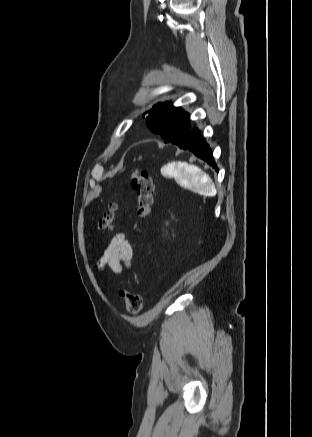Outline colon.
Returning <instances> with one entry per match:
<instances>
[{"instance_id":"colon-1","label":"colon","mask_w":312,"mask_h":437,"mask_svg":"<svg viewBox=\"0 0 312 437\" xmlns=\"http://www.w3.org/2000/svg\"><path fill=\"white\" fill-rule=\"evenodd\" d=\"M130 184L137 195V214L141 220H145L154 202V184L151 175L143 169L133 168L130 175ZM118 206L116 203L109 204L108 209L99 221L98 228L102 231H112L117 221ZM120 297L124 300L126 310L131 315L138 314L143 307L141 295L132 293L124 288L119 290Z\"/></svg>"}]
</instances>
